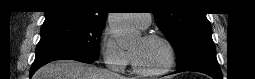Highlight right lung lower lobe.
<instances>
[{"label": "right lung lower lobe", "instance_id": "98d812e1", "mask_svg": "<svg viewBox=\"0 0 255 79\" xmlns=\"http://www.w3.org/2000/svg\"><path fill=\"white\" fill-rule=\"evenodd\" d=\"M62 59H69V60H76L84 63H93L96 61V59H90L82 56L77 55H70V54H51V55H45L42 57L35 58L34 63L31 66L30 70V77L43 65L55 61V60H62Z\"/></svg>", "mask_w": 255, "mask_h": 79}]
</instances>
